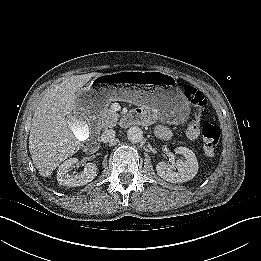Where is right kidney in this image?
Masks as SVG:
<instances>
[{"label": "right kidney", "instance_id": "ca27d5eb", "mask_svg": "<svg viewBox=\"0 0 261 261\" xmlns=\"http://www.w3.org/2000/svg\"><path fill=\"white\" fill-rule=\"evenodd\" d=\"M74 122L75 119L71 118ZM77 123V121H75ZM78 124V123H77ZM82 136L81 134H79ZM84 139L86 136H82ZM78 162L77 158H69L64 161L58 168L57 181L60 185H66L70 187H78L86 185L91 182L97 175V166L93 163H87L84 170L77 174H69L70 168H72Z\"/></svg>", "mask_w": 261, "mask_h": 261}]
</instances>
